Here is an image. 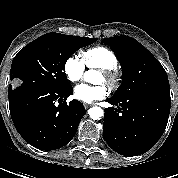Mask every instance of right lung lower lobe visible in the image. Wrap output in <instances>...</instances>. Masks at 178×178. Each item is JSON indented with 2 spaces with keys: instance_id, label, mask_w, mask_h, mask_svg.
Wrapping results in <instances>:
<instances>
[{
  "instance_id": "98d812e1",
  "label": "right lung lower lobe",
  "mask_w": 178,
  "mask_h": 178,
  "mask_svg": "<svg viewBox=\"0 0 178 178\" xmlns=\"http://www.w3.org/2000/svg\"><path fill=\"white\" fill-rule=\"evenodd\" d=\"M72 93L70 85L9 88L11 118L22 138L41 150H56L68 144L86 113L81 102L66 103Z\"/></svg>"
}]
</instances>
